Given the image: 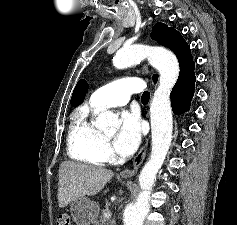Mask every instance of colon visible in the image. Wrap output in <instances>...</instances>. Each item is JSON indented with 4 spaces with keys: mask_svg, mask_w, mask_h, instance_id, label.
Returning a JSON list of instances; mask_svg holds the SVG:
<instances>
[{
    "mask_svg": "<svg viewBox=\"0 0 237 225\" xmlns=\"http://www.w3.org/2000/svg\"><path fill=\"white\" fill-rule=\"evenodd\" d=\"M56 225H73V223H72V221H71L69 216H67V215H60L57 218Z\"/></svg>",
    "mask_w": 237,
    "mask_h": 225,
    "instance_id": "colon-1",
    "label": "colon"
}]
</instances>
